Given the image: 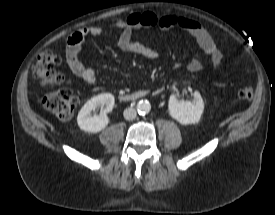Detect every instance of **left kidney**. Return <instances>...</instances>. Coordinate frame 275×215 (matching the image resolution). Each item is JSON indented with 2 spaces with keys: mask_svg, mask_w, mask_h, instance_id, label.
<instances>
[{
  "mask_svg": "<svg viewBox=\"0 0 275 215\" xmlns=\"http://www.w3.org/2000/svg\"><path fill=\"white\" fill-rule=\"evenodd\" d=\"M169 114L180 124L188 125L199 122L204 110V102L198 91L194 92V100H178L175 95H171L168 102Z\"/></svg>",
  "mask_w": 275,
  "mask_h": 215,
  "instance_id": "left-kidney-1",
  "label": "left kidney"
}]
</instances>
